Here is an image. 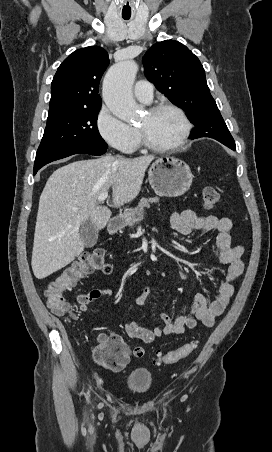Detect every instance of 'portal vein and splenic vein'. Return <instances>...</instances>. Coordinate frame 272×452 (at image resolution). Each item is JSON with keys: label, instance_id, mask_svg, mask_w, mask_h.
Instances as JSON below:
<instances>
[{"label": "portal vein and splenic vein", "instance_id": "obj_1", "mask_svg": "<svg viewBox=\"0 0 272 452\" xmlns=\"http://www.w3.org/2000/svg\"><path fill=\"white\" fill-rule=\"evenodd\" d=\"M107 197H108V192L101 193L97 199L98 203H103L107 199Z\"/></svg>", "mask_w": 272, "mask_h": 452}]
</instances>
